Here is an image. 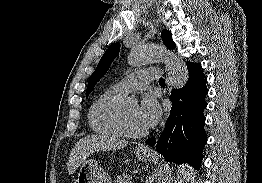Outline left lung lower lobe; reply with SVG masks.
<instances>
[{
	"label": "left lung lower lobe",
	"mask_w": 262,
	"mask_h": 183,
	"mask_svg": "<svg viewBox=\"0 0 262 183\" xmlns=\"http://www.w3.org/2000/svg\"><path fill=\"white\" fill-rule=\"evenodd\" d=\"M189 78L184 87L173 89L172 109L160 137L146 141L169 161L187 162L199 168L202 150L207 142L204 131L205 97L208 94L206 76L200 63L187 62Z\"/></svg>",
	"instance_id": "0a47b994"
}]
</instances>
